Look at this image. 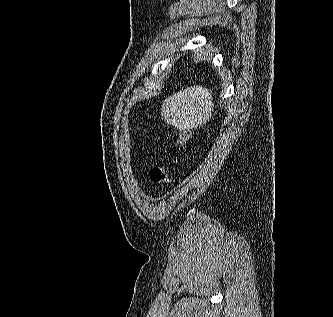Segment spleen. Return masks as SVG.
<instances>
[{"label":"spleen","mask_w":333,"mask_h":317,"mask_svg":"<svg viewBox=\"0 0 333 317\" xmlns=\"http://www.w3.org/2000/svg\"><path fill=\"white\" fill-rule=\"evenodd\" d=\"M212 93L202 86H191L168 96L162 103L165 122L179 130H192L211 118Z\"/></svg>","instance_id":"1"}]
</instances>
